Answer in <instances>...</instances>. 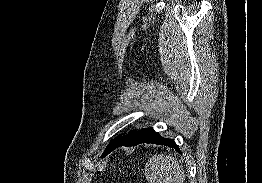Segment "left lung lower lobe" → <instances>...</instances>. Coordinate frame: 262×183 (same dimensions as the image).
I'll return each mask as SVG.
<instances>
[{
	"label": "left lung lower lobe",
	"mask_w": 262,
	"mask_h": 183,
	"mask_svg": "<svg viewBox=\"0 0 262 183\" xmlns=\"http://www.w3.org/2000/svg\"><path fill=\"white\" fill-rule=\"evenodd\" d=\"M140 143H153L159 145H166L172 148H175L178 152H180L178 146L174 142L173 139H166L161 137L158 133H156L153 128H145L141 129L132 136L123 137L119 140H116L108 149V151L102 157H105L110 152H112L115 148L119 146H134Z\"/></svg>",
	"instance_id": "left-lung-lower-lobe-1"
}]
</instances>
